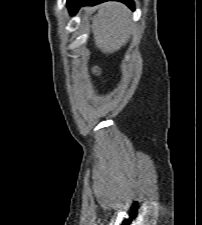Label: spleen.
I'll return each mask as SVG.
<instances>
[{
    "label": "spleen",
    "instance_id": "1",
    "mask_svg": "<svg viewBox=\"0 0 202 225\" xmlns=\"http://www.w3.org/2000/svg\"><path fill=\"white\" fill-rule=\"evenodd\" d=\"M132 28L129 10L114 2L103 5L92 23L95 44L103 53H113L124 46Z\"/></svg>",
    "mask_w": 202,
    "mask_h": 225
}]
</instances>
